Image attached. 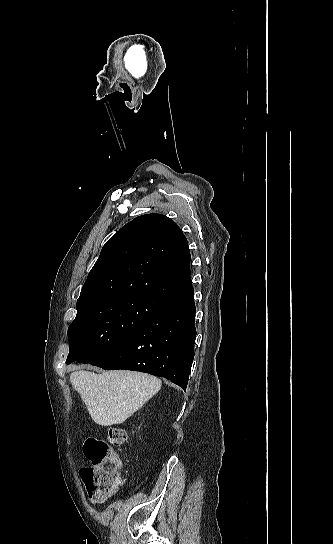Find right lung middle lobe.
<instances>
[{"label":"right lung middle lobe","instance_id":"1","mask_svg":"<svg viewBox=\"0 0 333 544\" xmlns=\"http://www.w3.org/2000/svg\"><path fill=\"white\" fill-rule=\"evenodd\" d=\"M167 302L144 294L78 302L76 318L68 328L70 351L67 363L80 362L133 334Z\"/></svg>","mask_w":333,"mask_h":544}]
</instances>
